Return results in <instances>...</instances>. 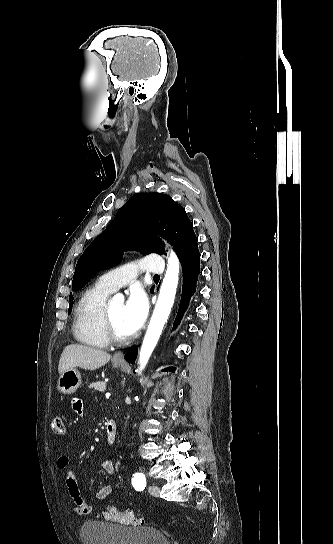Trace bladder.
Masks as SVG:
<instances>
[{
  "label": "bladder",
  "instance_id": "1",
  "mask_svg": "<svg viewBox=\"0 0 333 544\" xmlns=\"http://www.w3.org/2000/svg\"><path fill=\"white\" fill-rule=\"evenodd\" d=\"M79 537L83 544H170L168 537L153 527H127L94 520L82 524Z\"/></svg>",
  "mask_w": 333,
  "mask_h": 544
}]
</instances>
